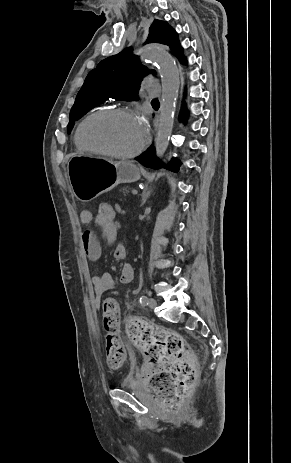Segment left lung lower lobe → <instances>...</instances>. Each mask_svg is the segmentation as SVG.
<instances>
[{"instance_id": "1", "label": "left lung lower lobe", "mask_w": 291, "mask_h": 463, "mask_svg": "<svg viewBox=\"0 0 291 463\" xmlns=\"http://www.w3.org/2000/svg\"><path fill=\"white\" fill-rule=\"evenodd\" d=\"M188 117V112L186 109L185 104L183 103L179 119L186 123V119ZM136 160L141 163L145 167H150L152 169H159L161 167H165L171 171L177 172L180 167V161L177 159H171V161L165 165L162 161H160L155 155V147L151 146L145 153L141 156L137 157Z\"/></svg>"}]
</instances>
